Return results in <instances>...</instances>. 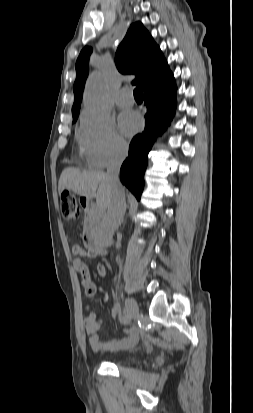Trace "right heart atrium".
Wrapping results in <instances>:
<instances>
[{"label": "right heart atrium", "mask_w": 253, "mask_h": 413, "mask_svg": "<svg viewBox=\"0 0 253 413\" xmlns=\"http://www.w3.org/2000/svg\"><path fill=\"white\" fill-rule=\"evenodd\" d=\"M78 139L88 164L93 168H104L121 159L127 151V143L111 119L85 114Z\"/></svg>", "instance_id": "obj_1"}]
</instances>
